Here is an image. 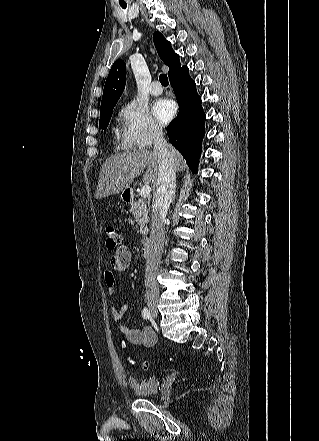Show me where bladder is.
Instances as JSON below:
<instances>
[{"instance_id":"bladder-1","label":"bladder","mask_w":319,"mask_h":441,"mask_svg":"<svg viewBox=\"0 0 319 441\" xmlns=\"http://www.w3.org/2000/svg\"><path fill=\"white\" fill-rule=\"evenodd\" d=\"M130 386L138 397L147 398L153 397L158 393L160 382L156 376H151L143 380L133 378L130 380Z\"/></svg>"}]
</instances>
